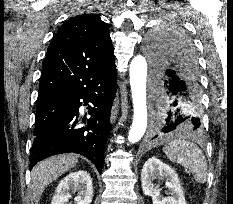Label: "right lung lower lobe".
<instances>
[{
	"label": "right lung lower lobe",
	"mask_w": 233,
	"mask_h": 204,
	"mask_svg": "<svg viewBox=\"0 0 233 204\" xmlns=\"http://www.w3.org/2000/svg\"><path fill=\"white\" fill-rule=\"evenodd\" d=\"M115 67L98 75L69 92L56 95L52 102L63 112L62 118L46 133L35 138L30 154V170L44 158L61 153H78L89 158L102 170L106 140L111 131L109 122L117 90ZM89 106L91 118L85 127H77L80 100Z\"/></svg>",
	"instance_id": "obj_1"
}]
</instances>
